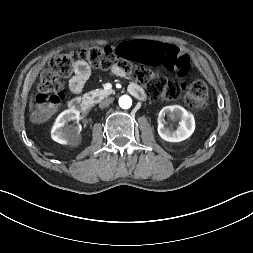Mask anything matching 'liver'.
<instances>
[{
	"label": "liver",
	"instance_id": "6515ba94",
	"mask_svg": "<svg viewBox=\"0 0 253 253\" xmlns=\"http://www.w3.org/2000/svg\"><path fill=\"white\" fill-rule=\"evenodd\" d=\"M32 107H33V102H32V100H30V102H29V108H30V110L32 109Z\"/></svg>",
	"mask_w": 253,
	"mask_h": 253
}]
</instances>
